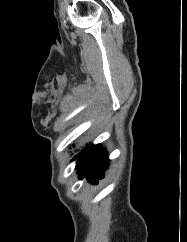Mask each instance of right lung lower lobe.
Masks as SVG:
<instances>
[{
    "mask_svg": "<svg viewBox=\"0 0 187 242\" xmlns=\"http://www.w3.org/2000/svg\"><path fill=\"white\" fill-rule=\"evenodd\" d=\"M76 168L79 170V178L86 177L91 184H97L104 177V171L108 169V153L101 144L85 147L75 157Z\"/></svg>",
    "mask_w": 187,
    "mask_h": 242,
    "instance_id": "1",
    "label": "right lung lower lobe"
}]
</instances>
